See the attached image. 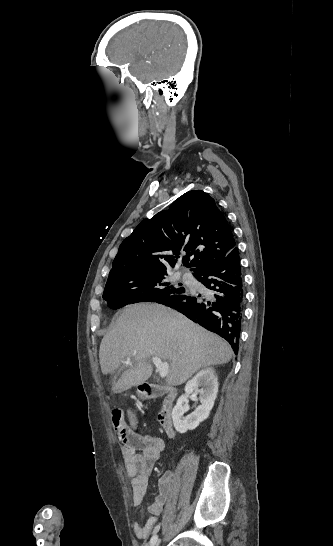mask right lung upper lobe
<instances>
[{"mask_svg":"<svg viewBox=\"0 0 333 546\" xmlns=\"http://www.w3.org/2000/svg\"><path fill=\"white\" fill-rule=\"evenodd\" d=\"M235 245L232 228L214 199L193 190L168 210L142 221L121 243L111 270L166 271V265L174 267L179 254L186 252L182 262L196 274L224 258Z\"/></svg>","mask_w":333,"mask_h":546,"instance_id":"1","label":"right lung upper lobe"}]
</instances>
